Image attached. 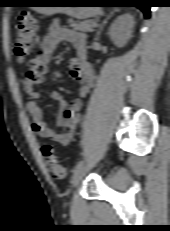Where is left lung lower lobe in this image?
Returning a JSON list of instances; mask_svg holds the SVG:
<instances>
[{
    "mask_svg": "<svg viewBox=\"0 0 170 231\" xmlns=\"http://www.w3.org/2000/svg\"><path fill=\"white\" fill-rule=\"evenodd\" d=\"M99 2L112 7H137L146 18L150 16L151 0H99Z\"/></svg>",
    "mask_w": 170,
    "mask_h": 231,
    "instance_id": "0a47b994",
    "label": "left lung lower lobe"
}]
</instances>
